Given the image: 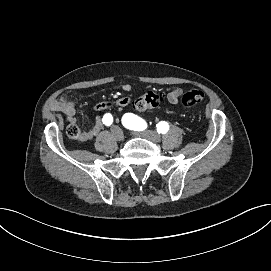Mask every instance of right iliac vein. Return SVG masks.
<instances>
[{"label": "right iliac vein", "instance_id": "obj_1", "mask_svg": "<svg viewBox=\"0 0 271 271\" xmlns=\"http://www.w3.org/2000/svg\"><path fill=\"white\" fill-rule=\"evenodd\" d=\"M112 134L117 141H122L124 139V133L119 127H114L112 129Z\"/></svg>", "mask_w": 271, "mask_h": 271}]
</instances>
